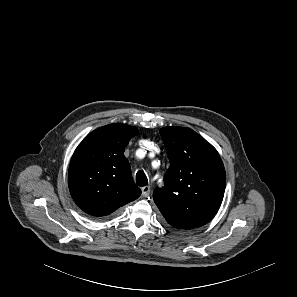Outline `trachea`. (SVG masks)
<instances>
[{"label":"trachea","instance_id":"obj_1","mask_svg":"<svg viewBox=\"0 0 297 297\" xmlns=\"http://www.w3.org/2000/svg\"><path fill=\"white\" fill-rule=\"evenodd\" d=\"M136 183L139 186H145L148 184V179H147L145 173L141 170L136 173Z\"/></svg>","mask_w":297,"mask_h":297}]
</instances>
